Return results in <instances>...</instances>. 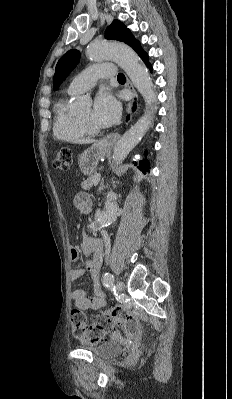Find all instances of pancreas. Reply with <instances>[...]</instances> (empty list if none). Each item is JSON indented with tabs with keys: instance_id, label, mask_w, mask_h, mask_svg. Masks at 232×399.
<instances>
[{
	"instance_id": "obj_1",
	"label": "pancreas",
	"mask_w": 232,
	"mask_h": 399,
	"mask_svg": "<svg viewBox=\"0 0 232 399\" xmlns=\"http://www.w3.org/2000/svg\"><path fill=\"white\" fill-rule=\"evenodd\" d=\"M95 176L96 172H93V174H91V176H89L87 180H84V182H82L81 188H83V190H90V188H92L94 184Z\"/></svg>"
}]
</instances>
